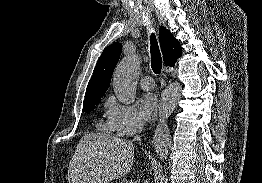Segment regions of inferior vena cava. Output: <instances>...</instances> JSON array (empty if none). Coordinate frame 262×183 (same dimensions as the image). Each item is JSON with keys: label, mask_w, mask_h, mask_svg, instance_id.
Here are the masks:
<instances>
[{"label": "inferior vena cava", "mask_w": 262, "mask_h": 183, "mask_svg": "<svg viewBox=\"0 0 262 183\" xmlns=\"http://www.w3.org/2000/svg\"><path fill=\"white\" fill-rule=\"evenodd\" d=\"M142 128H143V122L141 120H139L138 123H137L138 133H140L142 131ZM134 140H140V136L136 135ZM144 183H149V182L146 180Z\"/></svg>", "instance_id": "inferior-vena-cava-1"}]
</instances>
